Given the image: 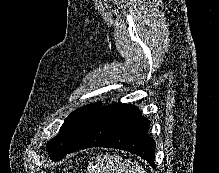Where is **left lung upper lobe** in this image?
<instances>
[{"label":"left lung upper lobe","instance_id":"obj_1","mask_svg":"<svg viewBox=\"0 0 219 173\" xmlns=\"http://www.w3.org/2000/svg\"><path fill=\"white\" fill-rule=\"evenodd\" d=\"M100 108V102L89 104L73 111L65 119L60 133L47 144L49 155L53 160L58 159L70 148Z\"/></svg>","mask_w":219,"mask_h":173}]
</instances>
